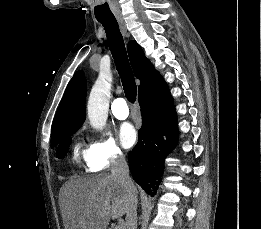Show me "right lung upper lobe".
Listing matches in <instances>:
<instances>
[{"instance_id": "1", "label": "right lung upper lobe", "mask_w": 261, "mask_h": 229, "mask_svg": "<svg viewBox=\"0 0 261 229\" xmlns=\"http://www.w3.org/2000/svg\"><path fill=\"white\" fill-rule=\"evenodd\" d=\"M128 55L135 76L140 80L139 93L149 89L162 79L151 62L145 57L136 41L128 44ZM86 80L84 73L74 74L59 104L52 126L51 147L62 143L54 133L55 129L65 125H82L85 120Z\"/></svg>"}]
</instances>
